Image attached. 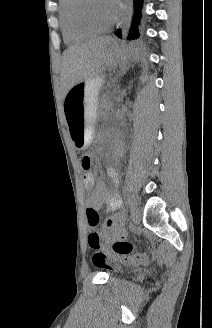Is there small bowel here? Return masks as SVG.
<instances>
[{
    "label": "small bowel",
    "mask_w": 212,
    "mask_h": 328,
    "mask_svg": "<svg viewBox=\"0 0 212 328\" xmlns=\"http://www.w3.org/2000/svg\"><path fill=\"white\" fill-rule=\"evenodd\" d=\"M83 176L85 189L89 192L87 205L98 211L103 205L108 212H115L114 215L107 217L103 222V236L107 242L116 239H124L127 232L124 228L125 215L120 211L122 208V199L118 193L112 191L104 182H96L90 170H84ZM107 177L115 182L117 172L114 168L107 171Z\"/></svg>",
    "instance_id": "1"
}]
</instances>
